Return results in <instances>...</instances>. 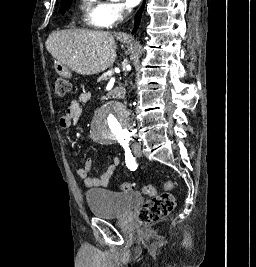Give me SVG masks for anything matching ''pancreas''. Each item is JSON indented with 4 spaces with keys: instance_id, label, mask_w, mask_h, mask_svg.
<instances>
[{
    "instance_id": "obj_1",
    "label": "pancreas",
    "mask_w": 256,
    "mask_h": 267,
    "mask_svg": "<svg viewBox=\"0 0 256 267\" xmlns=\"http://www.w3.org/2000/svg\"><path fill=\"white\" fill-rule=\"evenodd\" d=\"M111 76H105V74H103V76H101V80H110ZM112 94H116V98H118V96H124L125 94V90L124 88H116V90H114V92H112Z\"/></svg>"
}]
</instances>
